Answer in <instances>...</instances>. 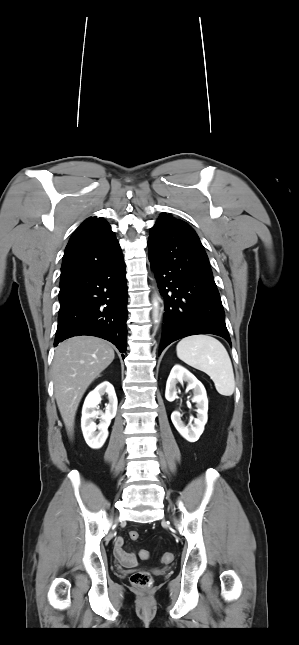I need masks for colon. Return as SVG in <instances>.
Listing matches in <instances>:
<instances>
[{
  "instance_id": "5ec220e1",
  "label": "colon",
  "mask_w": 299,
  "mask_h": 645,
  "mask_svg": "<svg viewBox=\"0 0 299 645\" xmlns=\"http://www.w3.org/2000/svg\"><path fill=\"white\" fill-rule=\"evenodd\" d=\"M130 538L132 540H137L139 538V533L137 531H131ZM139 556L141 559H147L149 557V552L147 550H141L139 552ZM173 558L174 556L170 552H165L162 555V561L164 563H170L173 560ZM130 580L134 586L138 588H146L151 583V576L148 572L138 571L132 574Z\"/></svg>"
}]
</instances>
